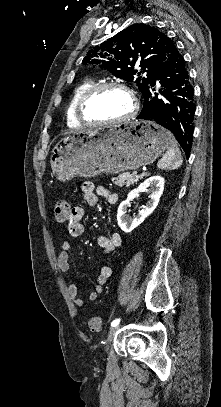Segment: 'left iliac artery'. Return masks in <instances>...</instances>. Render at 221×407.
<instances>
[{
	"mask_svg": "<svg viewBox=\"0 0 221 407\" xmlns=\"http://www.w3.org/2000/svg\"><path fill=\"white\" fill-rule=\"evenodd\" d=\"M119 322H120V318H119V319H115V320L111 323V326L114 327V326L118 325Z\"/></svg>",
	"mask_w": 221,
	"mask_h": 407,
	"instance_id": "1",
	"label": "left iliac artery"
}]
</instances>
